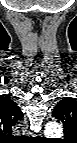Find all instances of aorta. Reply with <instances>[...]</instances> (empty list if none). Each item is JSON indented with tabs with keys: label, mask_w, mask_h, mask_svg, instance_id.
<instances>
[{
	"label": "aorta",
	"mask_w": 77,
	"mask_h": 143,
	"mask_svg": "<svg viewBox=\"0 0 77 143\" xmlns=\"http://www.w3.org/2000/svg\"><path fill=\"white\" fill-rule=\"evenodd\" d=\"M62 132V127L58 122H49L45 126V134L53 135Z\"/></svg>",
	"instance_id": "762f6f07"
}]
</instances>
